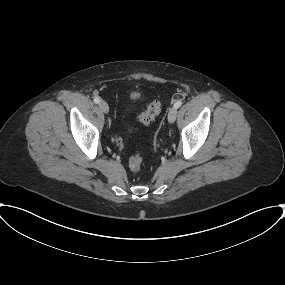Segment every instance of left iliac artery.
<instances>
[{"label":"left iliac artery","mask_w":285,"mask_h":285,"mask_svg":"<svg viewBox=\"0 0 285 285\" xmlns=\"http://www.w3.org/2000/svg\"><path fill=\"white\" fill-rule=\"evenodd\" d=\"M181 105H182V101H181V100H178V101L174 104V107L177 109V108H179Z\"/></svg>","instance_id":"44dca946"}]
</instances>
